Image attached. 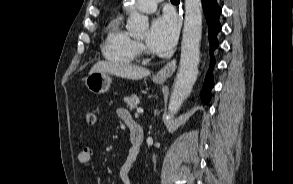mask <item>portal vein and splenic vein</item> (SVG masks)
<instances>
[{
    "instance_id": "1",
    "label": "portal vein and splenic vein",
    "mask_w": 293,
    "mask_h": 184,
    "mask_svg": "<svg viewBox=\"0 0 293 184\" xmlns=\"http://www.w3.org/2000/svg\"><path fill=\"white\" fill-rule=\"evenodd\" d=\"M136 112H137L138 114H141V113H143V109H142V108H137Z\"/></svg>"
}]
</instances>
